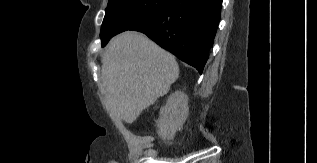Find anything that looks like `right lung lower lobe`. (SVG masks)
I'll return each instance as SVG.
<instances>
[{"mask_svg":"<svg viewBox=\"0 0 317 163\" xmlns=\"http://www.w3.org/2000/svg\"><path fill=\"white\" fill-rule=\"evenodd\" d=\"M221 5L222 0H171L156 15L129 30L146 34L202 74L219 24Z\"/></svg>","mask_w":317,"mask_h":163,"instance_id":"1","label":"right lung lower lobe"}]
</instances>
